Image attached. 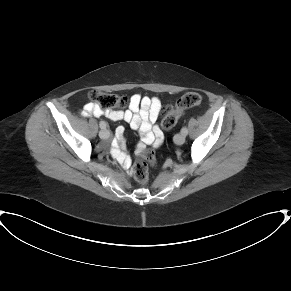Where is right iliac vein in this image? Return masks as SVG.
<instances>
[{"instance_id":"63e3f726","label":"right iliac vein","mask_w":291,"mask_h":291,"mask_svg":"<svg viewBox=\"0 0 291 291\" xmlns=\"http://www.w3.org/2000/svg\"><path fill=\"white\" fill-rule=\"evenodd\" d=\"M99 136L101 139H106L110 136V133L107 129H102L100 132H99Z\"/></svg>"}]
</instances>
